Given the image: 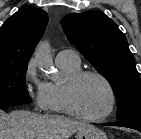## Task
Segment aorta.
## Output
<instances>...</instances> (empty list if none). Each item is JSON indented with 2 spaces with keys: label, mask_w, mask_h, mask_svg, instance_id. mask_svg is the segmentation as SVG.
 <instances>
[{
  "label": "aorta",
  "mask_w": 141,
  "mask_h": 139,
  "mask_svg": "<svg viewBox=\"0 0 141 139\" xmlns=\"http://www.w3.org/2000/svg\"><path fill=\"white\" fill-rule=\"evenodd\" d=\"M34 58L39 68L49 69L51 67L53 60L48 42L42 41L37 45Z\"/></svg>",
  "instance_id": "aorta-1"
}]
</instances>
